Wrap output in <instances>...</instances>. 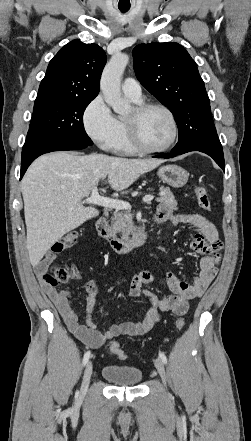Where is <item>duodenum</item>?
<instances>
[{
	"instance_id": "1",
	"label": "duodenum",
	"mask_w": 251,
	"mask_h": 441,
	"mask_svg": "<svg viewBox=\"0 0 251 441\" xmlns=\"http://www.w3.org/2000/svg\"><path fill=\"white\" fill-rule=\"evenodd\" d=\"M96 230L102 238H104L117 253H127L136 247L144 245L148 238V233H139L128 240H123L116 237L109 229L107 220L100 217L96 221Z\"/></svg>"
}]
</instances>
